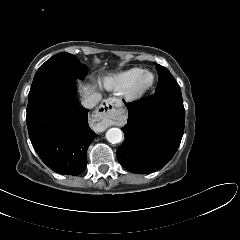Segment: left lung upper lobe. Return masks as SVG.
<instances>
[{"instance_id":"1","label":"left lung upper lobe","mask_w":240,"mask_h":240,"mask_svg":"<svg viewBox=\"0 0 240 240\" xmlns=\"http://www.w3.org/2000/svg\"><path fill=\"white\" fill-rule=\"evenodd\" d=\"M156 69L159 76V82L155 90L156 93L165 91L181 92L174 77L165 67L156 64Z\"/></svg>"}]
</instances>
